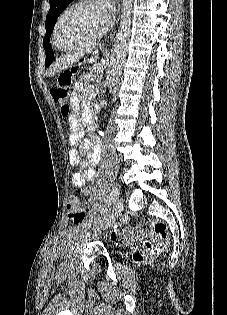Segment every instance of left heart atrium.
Segmentation results:
<instances>
[{
  "label": "left heart atrium",
  "mask_w": 227,
  "mask_h": 315,
  "mask_svg": "<svg viewBox=\"0 0 227 315\" xmlns=\"http://www.w3.org/2000/svg\"><path fill=\"white\" fill-rule=\"evenodd\" d=\"M98 5L104 13L106 21L110 19V12L113 10L112 0H98Z\"/></svg>",
  "instance_id": "1"
}]
</instances>
